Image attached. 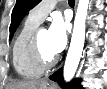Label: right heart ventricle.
Returning <instances> with one entry per match:
<instances>
[{
	"label": "right heart ventricle",
	"mask_w": 107,
	"mask_h": 89,
	"mask_svg": "<svg viewBox=\"0 0 107 89\" xmlns=\"http://www.w3.org/2000/svg\"><path fill=\"white\" fill-rule=\"evenodd\" d=\"M38 26L39 22L28 16L12 44V64L15 71L23 78H37L43 73V70L33 63L29 52L32 35Z\"/></svg>",
	"instance_id": "e07e8e85"
}]
</instances>
